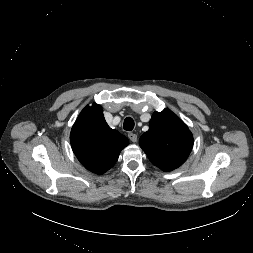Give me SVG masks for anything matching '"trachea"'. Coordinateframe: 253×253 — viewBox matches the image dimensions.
<instances>
[{
	"label": "trachea",
	"mask_w": 253,
	"mask_h": 253,
	"mask_svg": "<svg viewBox=\"0 0 253 253\" xmlns=\"http://www.w3.org/2000/svg\"><path fill=\"white\" fill-rule=\"evenodd\" d=\"M134 128V120L131 117H127L124 120V130L132 131Z\"/></svg>",
	"instance_id": "1"
}]
</instances>
